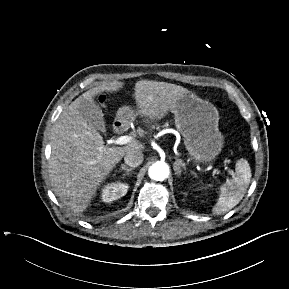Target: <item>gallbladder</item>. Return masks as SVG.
I'll use <instances>...</instances> for the list:
<instances>
[{
    "label": "gallbladder",
    "instance_id": "bac80fb5",
    "mask_svg": "<svg viewBox=\"0 0 289 289\" xmlns=\"http://www.w3.org/2000/svg\"><path fill=\"white\" fill-rule=\"evenodd\" d=\"M82 112L84 118L91 123L95 129L104 132L105 130V123H104V115L100 107L96 104L86 106L82 108Z\"/></svg>",
    "mask_w": 289,
    "mask_h": 289
}]
</instances>
